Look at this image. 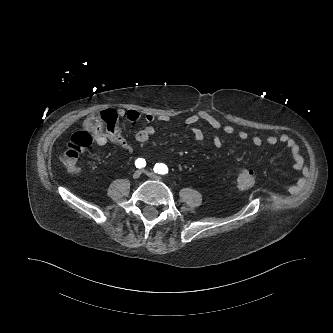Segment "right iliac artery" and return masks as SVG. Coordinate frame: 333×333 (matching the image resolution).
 <instances>
[{
	"mask_svg": "<svg viewBox=\"0 0 333 333\" xmlns=\"http://www.w3.org/2000/svg\"><path fill=\"white\" fill-rule=\"evenodd\" d=\"M135 166L137 167V168H144L145 166H146V161H145V159H143V158H138L136 161H135Z\"/></svg>",
	"mask_w": 333,
	"mask_h": 333,
	"instance_id": "82829eb1",
	"label": "right iliac artery"
}]
</instances>
